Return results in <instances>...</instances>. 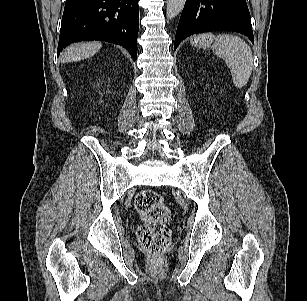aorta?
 Instances as JSON below:
<instances>
[{"instance_id":"obj_1","label":"aorta","mask_w":307,"mask_h":301,"mask_svg":"<svg viewBox=\"0 0 307 301\" xmlns=\"http://www.w3.org/2000/svg\"><path fill=\"white\" fill-rule=\"evenodd\" d=\"M186 0H167L166 17L175 18L183 9Z\"/></svg>"}]
</instances>
